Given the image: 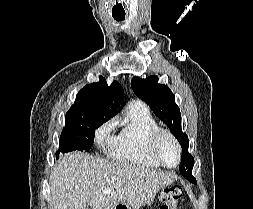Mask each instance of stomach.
<instances>
[{"instance_id": "obj_1", "label": "stomach", "mask_w": 253, "mask_h": 209, "mask_svg": "<svg viewBox=\"0 0 253 209\" xmlns=\"http://www.w3.org/2000/svg\"><path fill=\"white\" fill-rule=\"evenodd\" d=\"M168 191L169 188L163 187L160 196L161 200H164L166 204H169ZM118 202L119 203L114 207V209H132L131 202H126L125 199H119Z\"/></svg>"}]
</instances>
